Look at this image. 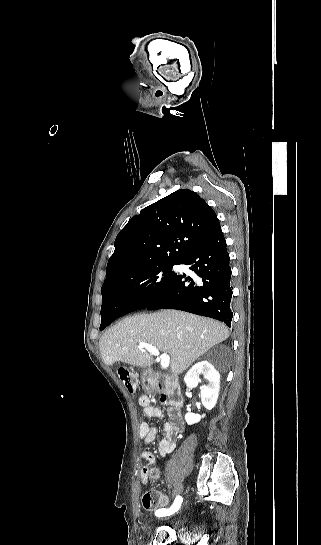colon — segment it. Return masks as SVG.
<instances>
[{
  "label": "colon",
  "mask_w": 321,
  "mask_h": 545,
  "mask_svg": "<svg viewBox=\"0 0 321 545\" xmlns=\"http://www.w3.org/2000/svg\"><path fill=\"white\" fill-rule=\"evenodd\" d=\"M118 375L126 389L130 393H135L137 385L133 374L127 368H120ZM141 500L143 507L147 510L165 509L170 504L168 498L157 491H145Z\"/></svg>",
  "instance_id": "1"
}]
</instances>
